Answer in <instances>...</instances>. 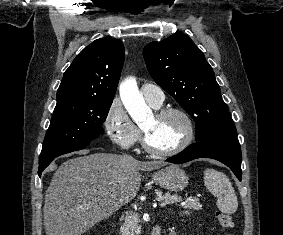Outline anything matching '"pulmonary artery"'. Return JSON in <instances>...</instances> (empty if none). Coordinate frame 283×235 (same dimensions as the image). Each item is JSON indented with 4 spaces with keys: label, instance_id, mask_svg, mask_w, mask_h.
<instances>
[{
    "label": "pulmonary artery",
    "instance_id": "e3ab8cb5",
    "mask_svg": "<svg viewBox=\"0 0 283 235\" xmlns=\"http://www.w3.org/2000/svg\"><path fill=\"white\" fill-rule=\"evenodd\" d=\"M141 92L146 101L154 106H160L164 101L163 90L157 85L150 83L143 84Z\"/></svg>",
    "mask_w": 283,
    "mask_h": 235
}]
</instances>
